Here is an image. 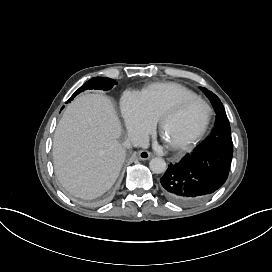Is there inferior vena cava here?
I'll return each mask as SVG.
<instances>
[{
    "instance_id": "1",
    "label": "inferior vena cava",
    "mask_w": 272,
    "mask_h": 272,
    "mask_svg": "<svg viewBox=\"0 0 272 272\" xmlns=\"http://www.w3.org/2000/svg\"><path fill=\"white\" fill-rule=\"evenodd\" d=\"M128 142L135 147L147 148L149 145V136L141 131L132 132L128 135Z\"/></svg>"
}]
</instances>
